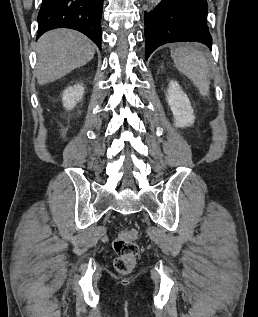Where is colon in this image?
Segmentation results:
<instances>
[{"label":"colon","mask_w":258,"mask_h":317,"mask_svg":"<svg viewBox=\"0 0 258 317\" xmlns=\"http://www.w3.org/2000/svg\"><path fill=\"white\" fill-rule=\"evenodd\" d=\"M138 231L133 227L123 228L113 242V249L116 254L114 265L119 271H129L136 263L139 253L137 243Z\"/></svg>","instance_id":"5ec220e1"}]
</instances>
